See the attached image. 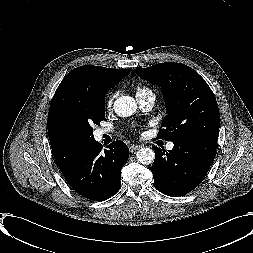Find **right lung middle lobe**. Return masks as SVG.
<instances>
[{
    "mask_svg": "<svg viewBox=\"0 0 253 253\" xmlns=\"http://www.w3.org/2000/svg\"><path fill=\"white\" fill-rule=\"evenodd\" d=\"M105 95L89 91H81L76 96L75 113L65 118V126L78 138L93 142L92 125L99 123L105 118Z\"/></svg>",
    "mask_w": 253,
    "mask_h": 253,
    "instance_id": "obj_1",
    "label": "right lung middle lobe"
}]
</instances>
